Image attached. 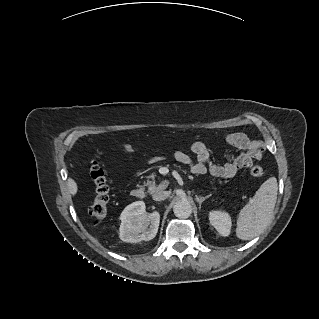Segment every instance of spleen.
I'll list each match as a JSON object with an SVG mask.
<instances>
[{
    "mask_svg": "<svg viewBox=\"0 0 319 319\" xmlns=\"http://www.w3.org/2000/svg\"><path fill=\"white\" fill-rule=\"evenodd\" d=\"M277 191V179L270 177L242 208L236 228V236L239 239L251 240L264 231L272 218Z\"/></svg>",
    "mask_w": 319,
    "mask_h": 319,
    "instance_id": "spleen-1",
    "label": "spleen"
}]
</instances>
